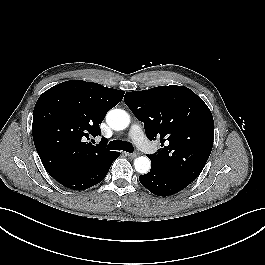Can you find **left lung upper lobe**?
I'll use <instances>...</instances> for the list:
<instances>
[{
	"label": "left lung upper lobe",
	"mask_w": 265,
	"mask_h": 265,
	"mask_svg": "<svg viewBox=\"0 0 265 265\" xmlns=\"http://www.w3.org/2000/svg\"><path fill=\"white\" fill-rule=\"evenodd\" d=\"M124 101L144 123L149 140L160 137L162 148L148 155L151 163L193 182L213 147L214 121L204 101L174 85L127 92Z\"/></svg>",
	"instance_id": "left-lung-upper-lobe-1"
}]
</instances>
